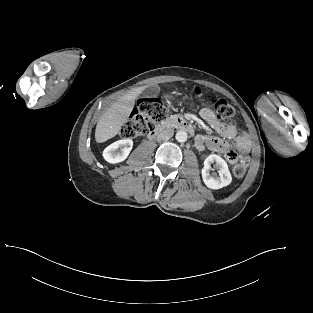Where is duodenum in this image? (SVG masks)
I'll return each mask as SVG.
<instances>
[{"mask_svg":"<svg viewBox=\"0 0 313 313\" xmlns=\"http://www.w3.org/2000/svg\"><path fill=\"white\" fill-rule=\"evenodd\" d=\"M174 127L184 130L190 134H194V127L185 119L178 117L171 118L168 121L162 123L155 130L151 131L148 134V137L150 139H154L156 137L165 136L167 132Z\"/></svg>","mask_w":313,"mask_h":313,"instance_id":"obj_1","label":"duodenum"}]
</instances>
